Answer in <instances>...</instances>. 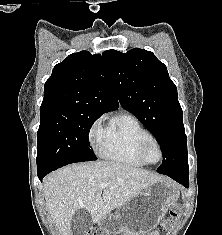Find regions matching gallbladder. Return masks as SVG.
<instances>
[{"mask_svg":"<svg viewBox=\"0 0 222 235\" xmlns=\"http://www.w3.org/2000/svg\"><path fill=\"white\" fill-rule=\"evenodd\" d=\"M91 223L90 214L85 209H79L71 220L72 235H87Z\"/></svg>","mask_w":222,"mask_h":235,"instance_id":"bac80fb5","label":"gallbladder"}]
</instances>
